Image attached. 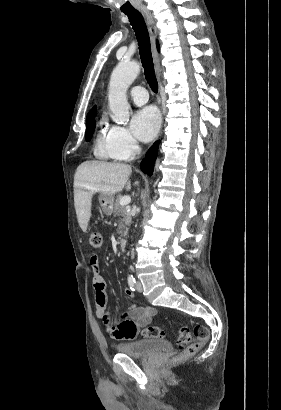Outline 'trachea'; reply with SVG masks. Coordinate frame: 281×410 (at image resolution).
Masks as SVG:
<instances>
[{
	"mask_svg": "<svg viewBox=\"0 0 281 410\" xmlns=\"http://www.w3.org/2000/svg\"><path fill=\"white\" fill-rule=\"evenodd\" d=\"M136 33L139 45V53L144 68V75L154 93L158 92V82L154 73V65L151 54V45L147 26L139 11L125 13Z\"/></svg>",
	"mask_w": 281,
	"mask_h": 410,
	"instance_id": "1",
	"label": "trachea"
}]
</instances>
